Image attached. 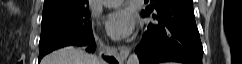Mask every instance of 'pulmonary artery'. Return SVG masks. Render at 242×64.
Wrapping results in <instances>:
<instances>
[{
	"label": "pulmonary artery",
	"mask_w": 242,
	"mask_h": 64,
	"mask_svg": "<svg viewBox=\"0 0 242 64\" xmlns=\"http://www.w3.org/2000/svg\"><path fill=\"white\" fill-rule=\"evenodd\" d=\"M123 0H104V5L107 7L119 6Z\"/></svg>",
	"instance_id": "pulmonary-artery-1"
}]
</instances>
